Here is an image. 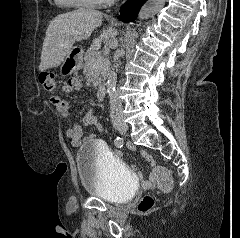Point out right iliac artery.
<instances>
[{
	"mask_svg": "<svg viewBox=\"0 0 240 238\" xmlns=\"http://www.w3.org/2000/svg\"><path fill=\"white\" fill-rule=\"evenodd\" d=\"M123 139L121 137H117L115 140H114V144L116 147L118 148H121L123 146Z\"/></svg>",
	"mask_w": 240,
	"mask_h": 238,
	"instance_id": "1",
	"label": "right iliac artery"
}]
</instances>
